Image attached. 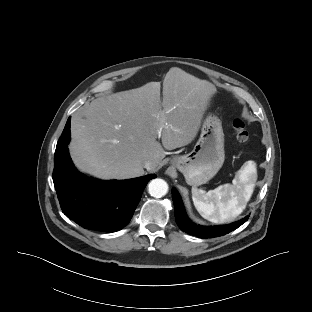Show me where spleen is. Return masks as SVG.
Segmentation results:
<instances>
[{"instance_id":"3e777b00","label":"spleen","mask_w":312,"mask_h":312,"mask_svg":"<svg viewBox=\"0 0 312 312\" xmlns=\"http://www.w3.org/2000/svg\"><path fill=\"white\" fill-rule=\"evenodd\" d=\"M252 169L245 164L233 184H224L207 193L192 187V200L199 214L213 222H228L240 215L253 193Z\"/></svg>"}]
</instances>
